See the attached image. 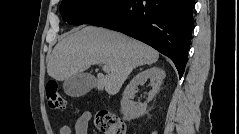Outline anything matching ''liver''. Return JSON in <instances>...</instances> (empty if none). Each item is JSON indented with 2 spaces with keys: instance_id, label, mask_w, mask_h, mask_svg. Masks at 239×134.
Segmentation results:
<instances>
[{
  "instance_id": "liver-1",
  "label": "liver",
  "mask_w": 239,
  "mask_h": 134,
  "mask_svg": "<svg viewBox=\"0 0 239 134\" xmlns=\"http://www.w3.org/2000/svg\"><path fill=\"white\" fill-rule=\"evenodd\" d=\"M158 58L155 49L140 41L101 27L85 26L58 42L47 72L55 80L63 81L91 65L107 64L110 72L105 76L97 74L96 86L99 91L114 95L134 68L153 64Z\"/></svg>"
}]
</instances>
